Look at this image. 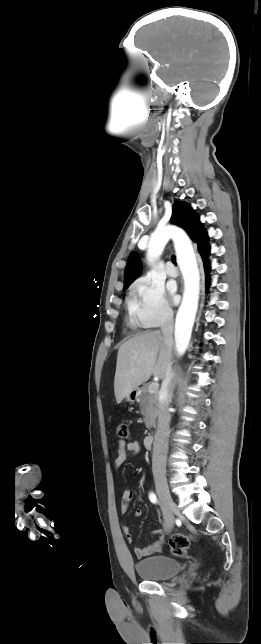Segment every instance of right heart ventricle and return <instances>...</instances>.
<instances>
[{"label":"right heart ventricle","instance_id":"1","mask_svg":"<svg viewBox=\"0 0 261 644\" xmlns=\"http://www.w3.org/2000/svg\"><path fill=\"white\" fill-rule=\"evenodd\" d=\"M129 311L131 313L132 318L134 319V317L132 315V302H129Z\"/></svg>","mask_w":261,"mask_h":644}]
</instances>
